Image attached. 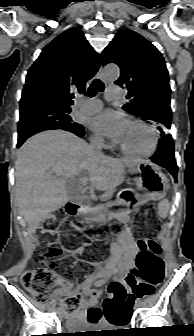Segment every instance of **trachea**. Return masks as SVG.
Listing matches in <instances>:
<instances>
[{"mask_svg": "<svg viewBox=\"0 0 194 336\" xmlns=\"http://www.w3.org/2000/svg\"><path fill=\"white\" fill-rule=\"evenodd\" d=\"M103 91H104V83L99 79H95L90 85L85 95L88 97H94L97 92H103Z\"/></svg>", "mask_w": 194, "mask_h": 336, "instance_id": "trachea-1", "label": "trachea"}]
</instances>
